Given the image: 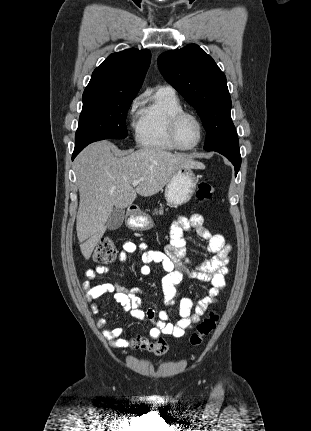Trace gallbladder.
<instances>
[{
    "label": "gallbladder",
    "instance_id": "gallbladder-1",
    "mask_svg": "<svg viewBox=\"0 0 311 431\" xmlns=\"http://www.w3.org/2000/svg\"><path fill=\"white\" fill-rule=\"evenodd\" d=\"M125 217V210L113 208L110 216L107 219L108 229H118L122 225Z\"/></svg>",
    "mask_w": 311,
    "mask_h": 431
}]
</instances>
